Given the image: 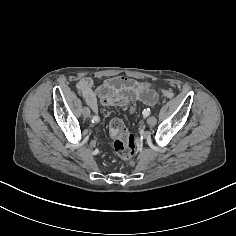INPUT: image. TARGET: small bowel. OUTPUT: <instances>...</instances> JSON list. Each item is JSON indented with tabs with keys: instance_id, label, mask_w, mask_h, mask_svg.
Returning <instances> with one entry per match:
<instances>
[{
	"instance_id": "small-bowel-1",
	"label": "small bowel",
	"mask_w": 236,
	"mask_h": 236,
	"mask_svg": "<svg viewBox=\"0 0 236 236\" xmlns=\"http://www.w3.org/2000/svg\"><path fill=\"white\" fill-rule=\"evenodd\" d=\"M77 88L84 95L94 112L98 111L97 95L102 96L112 92L125 93L132 101H141L149 105L154 104L157 100L156 94L148 85L121 76L110 79L108 82L99 86L96 91L93 90V80L90 77H82L77 83ZM134 110L135 105L132 104L130 111Z\"/></svg>"
}]
</instances>
